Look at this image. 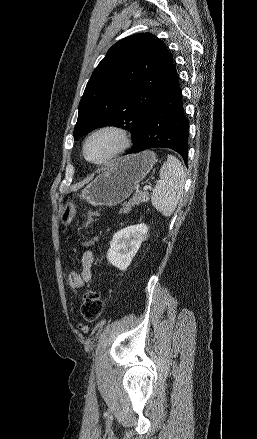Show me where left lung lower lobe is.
Instances as JSON below:
<instances>
[{
    "instance_id": "1",
    "label": "left lung lower lobe",
    "mask_w": 257,
    "mask_h": 439,
    "mask_svg": "<svg viewBox=\"0 0 257 439\" xmlns=\"http://www.w3.org/2000/svg\"><path fill=\"white\" fill-rule=\"evenodd\" d=\"M178 79L175 71L144 115L139 141L127 154L157 147L170 148L178 152L187 164L189 122L183 112Z\"/></svg>"
}]
</instances>
